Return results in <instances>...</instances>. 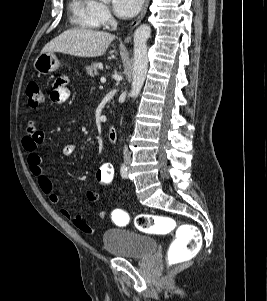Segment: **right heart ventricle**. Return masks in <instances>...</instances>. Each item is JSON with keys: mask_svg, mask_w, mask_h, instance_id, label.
<instances>
[{"mask_svg": "<svg viewBox=\"0 0 267 301\" xmlns=\"http://www.w3.org/2000/svg\"><path fill=\"white\" fill-rule=\"evenodd\" d=\"M96 0H72L70 2V13L72 23L84 29H97L100 22L96 16Z\"/></svg>", "mask_w": 267, "mask_h": 301, "instance_id": "1", "label": "right heart ventricle"}]
</instances>
